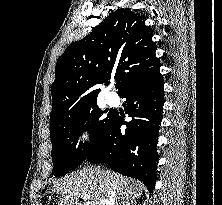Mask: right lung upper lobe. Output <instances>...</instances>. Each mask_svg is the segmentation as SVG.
I'll list each match as a JSON object with an SVG mask.
<instances>
[{
    "label": "right lung upper lobe",
    "instance_id": "right-lung-upper-lobe-1",
    "mask_svg": "<svg viewBox=\"0 0 222 205\" xmlns=\"http://www.w3.org/2000/svg\"><path fill=\"white\" fill-rule=\"evenodd\" d=\"M152 36L143 16L121 8L88 36L70 44L56 64L50 123L97 104L100 89L95 87L107 85L111 75L117 78L120 94L131 82L158 69Z\"/></svg>",
    "mask_w": 222,
    "mask_h": 205
}]
</instances>
